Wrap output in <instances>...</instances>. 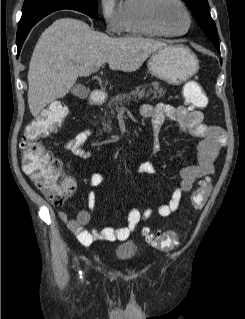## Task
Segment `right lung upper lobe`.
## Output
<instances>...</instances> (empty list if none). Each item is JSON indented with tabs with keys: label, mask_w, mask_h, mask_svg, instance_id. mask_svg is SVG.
Instances as JSON below:
<instances>
[{
	"label": "right lung upper lobe",
	"mask_w": 245,
	"mask_h": 319,
	"mask_svg": "<svg viewBox=\"0 0 245 319\" xmlns=\"http://www.w3.org/2000/svg\"><path fill=\"white\" fill-rule=\"evenodd\" d=\"M52 12H53V11H52ZM44 16H45V14L38 15V16H36L35 18H33L31 21H29V23L34 22V21H36V20H39V19L43 18ZM29 23H28V24H29Z\"/></svg>",
	"instance_id": "right-lung-upper-lobe-1"
}]
</instances>
